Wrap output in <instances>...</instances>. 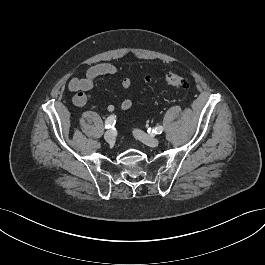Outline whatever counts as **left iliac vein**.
Segmentation results:
<instances>
[{
    "mask_svg": "<svg viewBox=\"0 0 265 265\" xmlns=\"http://www.w3.org/2000/svg\"><path fill=\"white\" fill-rule=\"evenodd\" d=\"M134 135L137 139H139L140 141H142L143 143H145L148 146L151 147H156L159 145V139L153 136H150L144 132H142L141 130H134Z\"/></svg>",
    "mask_w": 265,
    "mask_h": 265,
    "instance_id": "obj_1",
    "label": "left iliac vein"
}]
</instances>
